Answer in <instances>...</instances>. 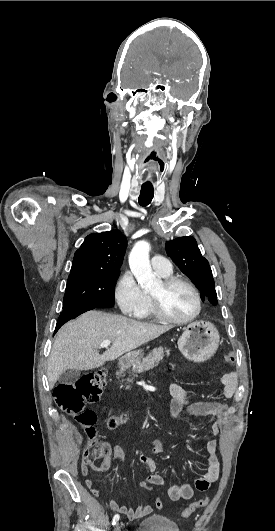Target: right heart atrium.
I'll return each instance as SVG.
<instances>
[{
	"mask_svg": "<svg viewBox=\"0 0 275 531\" xmlns=\"http://www.w3.org/2000/svg\"><path fill=\"white\" fill-rule=\"evenodd\" d=\"M115 297L123 314L129 317H140L149 305V296L139 287L129 271L119 278Z\"/></svg>",
	"mask_w": 275,
	"mask_h": 531,
	"instance_id": "1",
	"label": "right heart atrium"
}]
</instances>
